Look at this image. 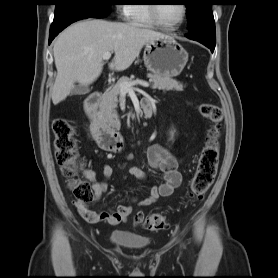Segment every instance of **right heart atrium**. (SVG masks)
Here are the masks:
<instances>
[{
    "label": "right heart atrium",
    "mask_w": 278,
    "mask_h": 278,
    "mask_svg": "<svg viewBox=\"0 0 278 278\" xmlns=\"http://www.w3.org/2000/svg\"><path fill=\"white\" fill-rule=\"evenodd\" d=\"M117 13L120 18L122 19H128L129 14H130V6L129 5H118L117 8Z\"/></svg>",
    "instance_id": "right-heart-atrium-1"
}]
</instances>
